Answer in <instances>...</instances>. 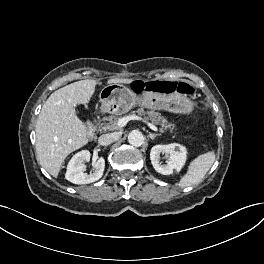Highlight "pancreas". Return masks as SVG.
<instances>
[{
    "label": "pancreas",
    "instance_id": "pancreas-1",
    "mask_svg": "<svg viewBox=\"0 0 264 264\" xmlns=\"http://www.w3.org/2000/svg\"><path fill=\"white\" fill-rule=\"evenodd\" d=\"M136 113L140 116H143L145 120H149L152 122L153 125L161 126V131L170 130L173 132L176 130V126L174 123H169L166 118L161 116L159 112L155 111H145L144 109L140 108L136 111ZM134 114V113H133ZM120 117L117 116H106L96 122V126L99 131L106 132V131H113L118 128L117 122Z\"/></svg>",
    "mask_w": 264,
    "mask_h": 264
}]
</instances>
